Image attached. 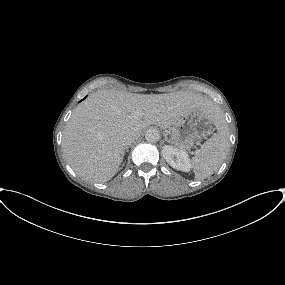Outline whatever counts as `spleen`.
Instances as JSON below:
<instances>
[{
  "label": "spleen",
  "instance_id": "spleen-1",
  "mask_svg": "<svg viewBox=\"0 0 285 285\" xmlns=\"http://www.w3.org/2000/svg\"><path fill=\"white\" fill-rule=\"evenodd\" d=\"M214 133L192 158L191 167L196 179L212 175L221 165L230 146L229 130L223 114L217 110Z\"/></svg>",
  "mask_w": 285,
  "mask_h": 285
}]
</instances>
